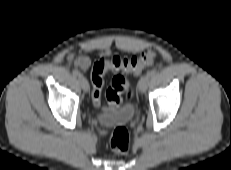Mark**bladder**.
<instances>
[{
	"label": "bladder",
	"mask_w": 231,
	"mask_h": 170,
	"mask_svg": "<svg viewBox=\"0 0 231 170\" xmlns=\"http://www.w3.org/2000/svg\"><path fill=\"white\" fill-rule=\"evenodd\" d=\"M135 115L133 105H126L122 108L113 109L98 116L99 123L104 127L128 124Z\"/></svg>",
	"instance_id": "31cf9c89"
}]
</instances>
